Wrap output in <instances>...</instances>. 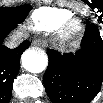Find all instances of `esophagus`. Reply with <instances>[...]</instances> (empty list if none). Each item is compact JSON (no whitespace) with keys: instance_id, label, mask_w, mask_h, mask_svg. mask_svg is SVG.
Instances as JSON below:
<instances>
[{"instance_id":"1","label":"esophagus","mask_w":103,"mask_h":103,"mask_svg":"<svg viewBox=\"0 0 103 103\" xmlns=\"http://www.w3.org/2000/svg\"><path fill=\"white\" fill-rule=\"evenodd\" d=\"M36 47H43L45 46L44 42L42 40H34L32 43Z\"/></svg>"}]
</instances>
